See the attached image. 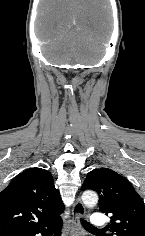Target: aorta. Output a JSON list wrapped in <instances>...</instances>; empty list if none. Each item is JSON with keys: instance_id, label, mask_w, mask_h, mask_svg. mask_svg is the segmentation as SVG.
Instances as JSON below:
<instances>
[{"instance_id": "obj_1", "label": "aorta", "mask_w": 145, "mask_h": 236, "mask_svg": "<svg viewBox=\"0 0 145 236\" xmlns=\"http://www.w3.org/2000/svg\"><path fill=\"white\" fill-rule=\"evenodd\" d=\"M82 201L87 207H94L98 202V195L94 191H85L82 194Z\"/></svg>"}]
</instances>
